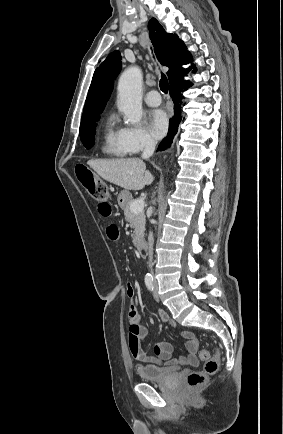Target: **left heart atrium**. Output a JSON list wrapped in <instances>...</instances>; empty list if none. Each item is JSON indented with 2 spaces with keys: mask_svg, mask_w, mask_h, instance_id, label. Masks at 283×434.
<instances>
[{
  "mask_svg": "<svg viewBox=\"0 0 283 434\" xmlns=\"http://www.w3.org/2000/svg\"><path fill=\"white\" fill-rule=\"evenodd\" d=\"M149 128L153 136L162 137L168 128V117L163 110L157 109L150 113Z\"/></svg>",
  "mask_w": 283,
  "mask_h": 434,
  "instance_id": "39dd6f15",
  "label": "left heart atrium"
}]
</instances>
